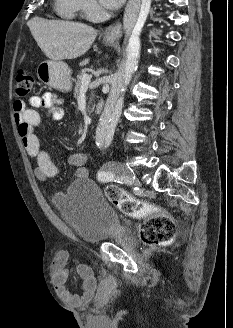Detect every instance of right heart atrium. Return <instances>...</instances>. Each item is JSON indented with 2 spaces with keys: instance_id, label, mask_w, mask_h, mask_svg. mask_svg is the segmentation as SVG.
<instances>
[{
  "instance_id": "obj_1",
  "label": "right heart atrium",
  "mask_w": 233,
  "mask_h": 328,
  "mask_svg": "<svg viewBox=\"0 0 233 328\" xmlns=\"http://www.w3.org/2000/svg\"><path fill=\"white\" fill-rule=\"evenodd\" d=\"M77 1L79 5V11H81L86 18H90L96 9V4L94 0H77Z\"/></svg>"
}]
</instances>
